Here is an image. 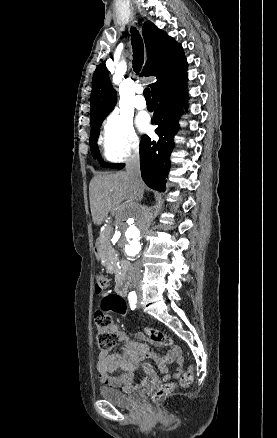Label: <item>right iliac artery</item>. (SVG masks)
I'll return each mask as SVG.
<instances>
[{"mask_svg":"<svg viewBox=\"0 0 277 438\" xmlns=\"http://www.w3.org/2000/svg\"><path fill=\"white\" fill-rule=\"evenodd\" d=\"M128 300H129L130 308H131L132 310H134V309L136 308L137 296H136L135 294H130V295L128 296Z\"/></svg>","mask_w":277,"mask_h":438,"instance_id":"right-iliac-artery-1","label":"right iliac artery"}]
</instances>
